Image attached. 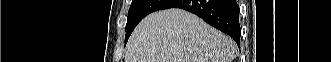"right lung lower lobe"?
<instances>
[{
  "instance_id": "98d812e1",
  "label": "right lung lower lobe",
  "mask_w": 331,
  "mask_h": 62,
  "mask_svg": "<svg viewBox=\"0 0 331 62\" xmlns=\"http://www.w3.org/2000/svg\"><path fill=\"white\" fill-rule=\"evenodd\" d=\"M180 8L231 36L240 47L239 5L236 0H171L163 9Z\"/></svg>"
}]
</instances>
